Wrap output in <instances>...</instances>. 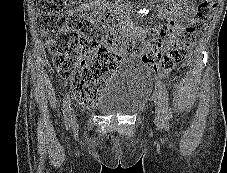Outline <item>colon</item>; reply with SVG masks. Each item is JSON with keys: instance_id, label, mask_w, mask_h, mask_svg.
Masks as SVG:
<instances>
[{"instance_id": "colon-1", "label": "colon", "mask_w": 227, "mask_h": 173, "mask_svg": "<svg viewBox=\"0 0 227 173\" xmlns=\"http://www.w3.org/2000/svg\"><path fill=\"white\" fill-rule=\"evenodd\" d=\"M73 1L36 0L38 24L59 75L70 80L80 103L92 105L118 61L106 41L115 36L119 21L109 13L95 16L85 9H68ZM215 8L216 0H200L193 24L166 50L158 39L148 47L143 40L133 39L128 48L150 71L167 75L187 57L196 33L211 23Z\"/></svg>"}]
</instances>
